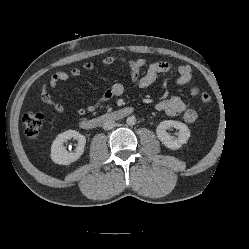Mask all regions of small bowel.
Listing matches in <instances>:
<instances>
[{
    "label": "small bowel",
    "mask_w": 249,
    "mask_h": 249,
    "mask_svg": "<svg viewBox=\"0 0 249 249\" xmlns=\"http://www.w3.org/2000/svg\"><path fill=\"white\" fill-rule=\"evenodd\" d=\"M104 65H113L120 63L124 65L132 76L133 81L140 89H146L150 87L157 80L158 76L170 71V65L166 62H155L148 66L146 73L140 76L142 69L145 67L146 62L144 59H127L119 56H108L102 60ZM96 66L92 62H87L81 68H73L70 72L59 71L51 76L49 87L44 86L42 88L41 98L42 100L54 108L55 111L62 113L64 107L61 103L57 102L49 93L48 88L52 94L57 91V85L60 82H69L71 79L80 78L83 71H93ZM194 79V73L190 66L182 65L178 68V77L175 80V86H182L192 82ZM124 92V85L121 83H114L107 88L102 96V99L90 106L87 109L78 108L76 113L82 115L88 111L96 109L100 103L111 99L114 96L122 95ZM190 93L193 96L198 95L199 89L193 85L190 89ZM155 109L166 113L169 116H182L186 123H193L197 119V112L189 108L186 103L178 96L171 95L169 98L159 99L155 102Z\"/></svg>",
    "instance_id": "1"
}]
</instances>
